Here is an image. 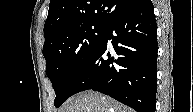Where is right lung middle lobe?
<instances>
[{"label": "right lung middle lobe", "instance_id": "obj_1", "mask_svg": "<svg viewBox=\"0 0 193 112\" xmlns=\"http://www.w3.org/2000/svg\"><path fill=\"white\" fill-rule=\"evenodd\" d=\"M106 26L99 23H81L67 27L43 46L46 74L52 82L59 107L70 97L72 87L82 69L101 42Z\"/></svg>", "mask_w": 193, "mask_h": 112}]
</instances>
